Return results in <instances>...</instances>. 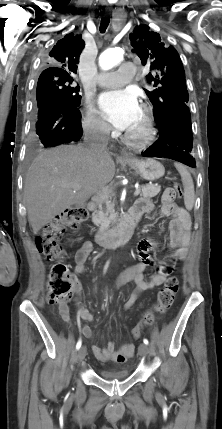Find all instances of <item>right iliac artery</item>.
<instances>
[{"label":"right iliac artery","instance_id":"1","mask_svg":"<svg viewBox=\"0 0 222 429\" xmlns=\"http://www.w3.org/2000/svg\"><path fill=\"white\" fill-rule=\"evenodd\" d=\"M107 266H108V264L105 266V269L107 268ZM81 345H82V341H81V339H79V341L76 344V349L79 350Z\"/></svg>","mask_w":222,"mask_h":429}]
</instances>
